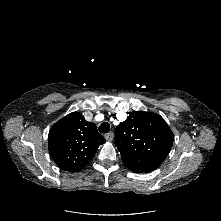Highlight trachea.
Wrapping results in <instances>:
<instances>
[{"instance_id":"obj_1","label":"trachea","mask_w":221,"mask_h":221,"mask_svg":"<svg viewBox=\"0 0 221 221\" xmlns=\"http://www.w3.org/2000/svg\"><path fill=\"white\" fill-rule=\"evenodd\" d=\"M110 130V125L108 122H103L100 126H99V132L101 133H108Z\"/></svg>"}]
</instances>
